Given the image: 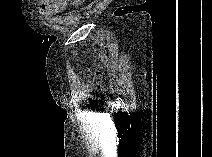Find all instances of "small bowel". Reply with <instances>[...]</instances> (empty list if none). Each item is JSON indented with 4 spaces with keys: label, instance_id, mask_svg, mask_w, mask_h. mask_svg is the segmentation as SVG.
I'll return each instance as SVG.
<instances>
[{
    "label": "small bowel",
    "instance_id": "c3829d8e",
    "mask_svg": "<svg viewBox=\"0 0 212 157\" xmlns=\"http://www.w3.org/2000/svg\"><path fill=\"white\" fill-rule=\"evenodd\" d=\"M65 1L63 0H52L41 3V10L46 14H54L61 10L64 5Z\"/></svg>",
    "mask_w": 212,
    "mask_h": 157
}]
</instances>
